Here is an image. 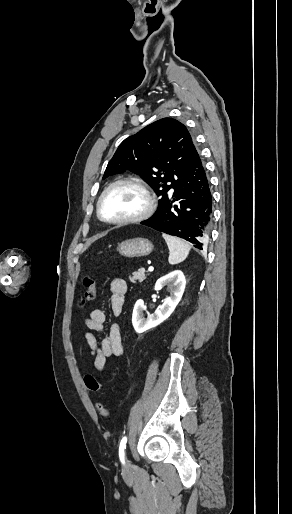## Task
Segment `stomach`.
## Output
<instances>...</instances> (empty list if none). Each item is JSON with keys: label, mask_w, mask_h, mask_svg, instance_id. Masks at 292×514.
I'll use <instances>...</instances> for the list:
<instances>
[{"label": "stomach", "mask_w": 292, "mask_h": 514, "mask_svg": "<svg viewBox=\"0 0 292 514\" xmlns=\"http://www.w3.org/2000/svg\"><path fill=\"white\" fill-rule=\"evenodd\" d=\"M154 246L145 238H134V240H125L119 244L117 250L121 256L127 258H135V256H148L151 254Z\"/></svg>", "instance_id": "stomach-1"}]
</instances>
